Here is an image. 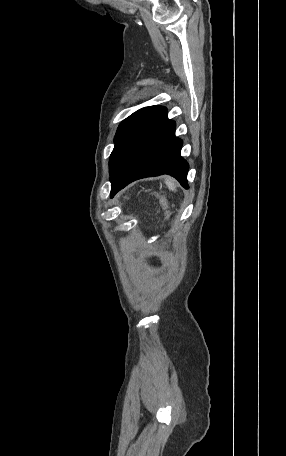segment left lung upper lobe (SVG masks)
Wrapping results in <instances>:
<instances>
[{
    "label": "left lung upper lobe",
    "instance_id": "5c2ea615",
    "mask_svg": "<svg viewBox=\"0 0 286 456\" xmlns=\"http://www.w3.org/2000/svg\"><path fill=\"white\" fill-rule=\"evenodd\" d=\"M165 111L166 108L162 106L144 107L121 122L114 138L115 146L109 159L110 180L113 179L132 143Z\"/></svg>",
    "mask_w": 286,
    "mask_h": 456
}]
</instances>
